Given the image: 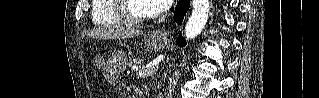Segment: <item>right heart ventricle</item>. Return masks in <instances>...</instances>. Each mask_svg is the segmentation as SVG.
<instances>
[{
    "label": "right heart ventricle",
    "instance_id": "right-heart-ventricle-1",
    "mask_svg": "<svg viewBox=\"0 0 319 98\" xmlns=\"http://www.w3.org/2000/svg\"><path fill=\"white\" fill-rule=\"evenodd\" d=\"M91 18L96 26H111L122 23L114 11L113 0H93Z\"/></svg>",
    "mask_w": 319,
    "mask_h": 98
}]
</instances>
